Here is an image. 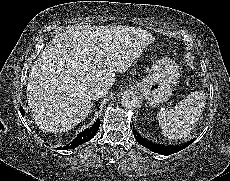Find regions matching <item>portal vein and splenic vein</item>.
Listing matches in <instances>:
<instances>
[{
  "label": "portal vein and splenic vein",
  "instance_id": "obj_1",
  "mask_svg": "<svg viewBox=\"0 0 230 181\" xmlns=\"http://www.w3.org/2000/svg\"><path fill=\"white\" fill-rule=\"evenodd\" d=\"M102 57H103V52L99 51L97 56H96L97 60L101 61Z\"/></svg>",
  "mask_w": 230,
  "mask_h": 181
}]
</instances>
